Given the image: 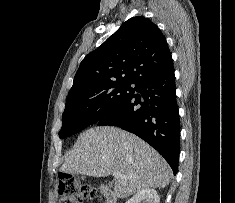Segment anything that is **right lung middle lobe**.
Masks as SVG:
<instances>
[{
    "mask_svg": "<svg viewBox=\"0 0 235 203\" xmlns=\"http://www.w3.org/2000/svg\"><path fill=\"white\" fill-rule=\"evenodd\" d=\"M131 84H135V88ZM137 84L124 79L112 80L69 93L59 137L76 134L112 113L134 94Z\"/></svg>",
    "mask_w": 235,
    "mask_h": 203,
    "instance_id": "dd1d6c3e",
    "label": "right lung middle lobe"
}]
</instances>
